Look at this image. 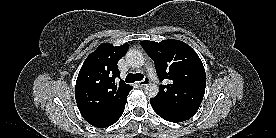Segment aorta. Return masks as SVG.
<instances>
[{
	"label": "aorta",
	"mask_w": 276,
	"mask_h": 138,
	"mask_svg": "<svg viewBox=\"0 0 276 138\" xmlns=\"http://www.w3.org/2000/svg\"><path fill=\"white\" fill-rule=\"evenodd\" d=\"M126 61L129 66L140 68L144 65L145 58L140 51L133 49L126 53ZM144 91L148 97L154 98L159 93V87L156 84H147Z\"/></svg>",
	"instance_id": "obj_1"
}]
</instances>
